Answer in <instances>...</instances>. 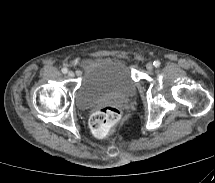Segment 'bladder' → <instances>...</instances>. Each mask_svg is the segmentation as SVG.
Segmentation results:
<instances>
[{
	"instance_id": "obj_1",
	"label": "bladder",
	"mask_w": 215,
	"mask_h": 183,
	"mask_svg": "<svg viewBox=\"0 0 215 183\" xmlns=\"http://www.w3.org/2000/svg\"><path fill=\"white\" fill-rule=\"evenodd\" d=\"M75 103L81 110L90 109L110 98H127L137 89L129 65L120 59L100 57L80 64Z\"/></svg>"
}]
</instances>
